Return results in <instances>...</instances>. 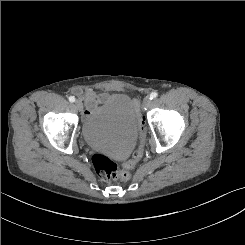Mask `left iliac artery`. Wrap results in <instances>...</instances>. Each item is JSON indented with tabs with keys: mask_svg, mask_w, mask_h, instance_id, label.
Listing matches in <instances>:
<instances>
[{
	"mask_svg": "<svg viewBox=\"0 0 245 245\" xmlns=\"http://www.w3.org/2000/svg\"><path fill=\"white\" fill-rule=\"evenodd\" d=\"M158 96V93L157 92H152L151 94H150V99H154V98H156Z\"/></svg>",
	"mask_w": 245,
	"mask_h": 245,
	"instance_id": "44dca946",
	"label": "left iliac artery"
}]
</instances>
